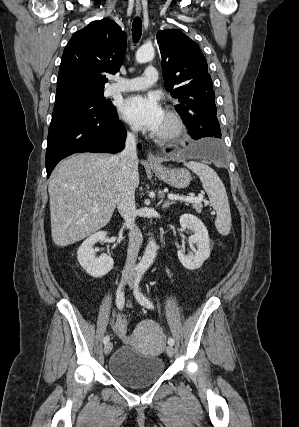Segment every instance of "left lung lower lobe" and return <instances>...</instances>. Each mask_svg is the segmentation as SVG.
<instances>
[{"mask_svg":"<svg viewBox=\"0 0 299 427\" xmlns=\"http://www.w3.org/2000/svg\"><path fill=\"white\" fill-rule=\"evenodd\" d=\"M188 130L191 131V137L198 140L205 137H215L212 129V118L210 110L207 108H199L187 112L182 117ZM190 152L208 156L215 160H223V152L221 145L217 140L209 142H198L190 147Z\"/></svg>","mask_w":299,"mask_h":427,"instance_id":"left-lung-lower-lobe-1","label":"left lung lower lobe"}]
</instances>
